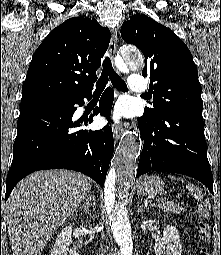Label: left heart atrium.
<instances>
[{"label": "left heart atrium", "mask_w": 221, "mask_h": 255, "mask_svg": "<svg viewBox=\"0 0 221 255\" xmlns=\"http://www.w3.org/2000/svg\"><path fill=\"white\" fill-rule=\"evenodd\" d=\"M121 115V109L119 107L115 108L114 114H113V119L117 120Z\"/></svg>", "instance_id": "39dd6f15"}]
</instances>
